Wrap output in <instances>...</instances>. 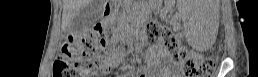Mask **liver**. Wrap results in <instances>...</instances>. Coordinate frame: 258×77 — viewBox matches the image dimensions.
<instances>
[{"mask_svg":"<svg viewBox=\"0 0 258 77\" xmlns=\"http://www.w3.org/2000/svg\"><path fill=\"white\" fill-rule=\"evenodd\" d=\"M91 0H63L62 25L70 27L71 23L81 8L90 3Z\"/></svg>","mask_w":258,"mask_h":77,"instance_id":"obj_1","label":"liver"}]
</instances>
